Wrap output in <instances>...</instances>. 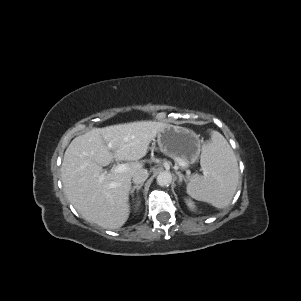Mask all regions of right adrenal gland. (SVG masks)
Listing matches in <instances>:
<instances>
[{
  "mask_svg": "<svg viewBox=\"0 0 301 301\" xmlns=\"http://www.w3.org/2000/svg\"><path fill=\"white\" fill-rule=\"evenodd\" d=\"M142 186L143 184L133 186L130 190V193L133 194L135 190L139 191Z\"/></svg>",
  "mask_w": 301,
  "mask_h": 301,
  "instance_id": "right-adrenal-gland-1",
  "label": "right adrenal gland"
}]
</instances>
